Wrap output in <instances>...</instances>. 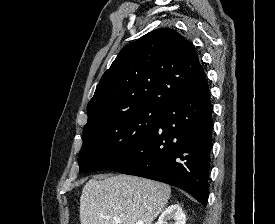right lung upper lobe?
<instances>
[{
  "label": "right lung upper lobe",
  "mask_w": 275,
  "mask_h": 224,
  "mask_svg": "<svg viewBox=\"0 0 275 224\" xmlns=\"http://www.w3.org/2000/svg\"><path fill=\"white\" fill-rule=\"evenodd\" d=\"M202 75L193 44L173 29H156L125 46L103 74L84 129L139 109H165Z\"/></svg>",
  "instance_id": "right-lung-upper-lobe-1"
}]
</instances>
